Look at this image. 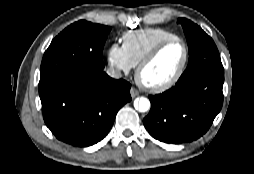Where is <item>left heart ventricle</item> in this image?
Returning a JSON list of instances; mask_svg holds the SVG:
<instances>
[{
  "label": "left heart ventricle",
  "instance_id": "b2bd125f",
  "mask_svg": "<svg viewBox=\"0 0 254 174\" xmlns=\"http://www.w3.org/2000/svg\"><path fill=\"white\" fill-rule=\"evenodd\" d=\"M184 57L180 42L167 45L141 73V79L148 84H159L169 80L179 69Z\"/></svg>",
  "mask_w": 254,
  "mask_h": 174
}]
</instances>
